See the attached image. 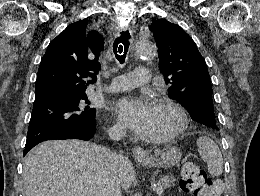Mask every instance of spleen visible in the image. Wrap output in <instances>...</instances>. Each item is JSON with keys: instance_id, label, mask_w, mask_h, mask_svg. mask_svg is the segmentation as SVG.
<instances>
[{"instance_id": "1", "label": "spleen", "mask_w": 260, "mask_h": 196, "mask_svg": "<svg viewBox=\"0 0 260 196\" xmlns=\"http://www.w3.org/2000/svg\"><path fill=\"white\" fill-rule=\"evenodd\" d=\"M196 144L203 162H206L208 166L209 174L213 178L220 176L223 172V158L217 144L208 136H201Z\"/></svg>"}]
</instances>
